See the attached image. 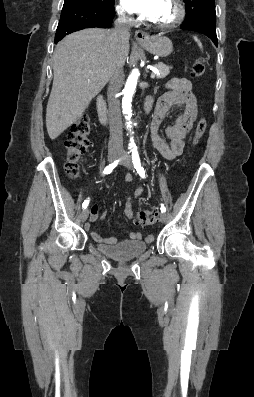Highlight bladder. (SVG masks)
<instances>
[{"instance_id": "bladder-1", "label": "bladder", "mask_w": 254, "mask_h": 397, "mask_svg": "<svg viewBox=\"0 0 254 397\" xmlns=\"http://www.w3.org/2000/svg\"><path fill=\"white\" fill-rule=\"evenodd\" d=\"M97 248L108 257L117 260H126L144 253L147 249V244L142 240H134L120 242L115 245L100 244Z\"/></svg>"}]
</instances>
